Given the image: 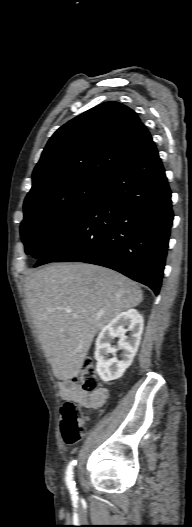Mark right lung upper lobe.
<instances>
[{
  "label": "right lung upper lobe",
  "mask_w": 192,
  "mask_h": 527,
  "mask_svg": "<svg viewBox=\"0 0 192 527\" xmlns=\"http://www.w3.org/2000/svg\"><path fill=\"white\" fill-rule=\"evenodd\" d=\"M151 142L132 109L115 101L102 103L53 134L33 171L25 201L83 180L107 182Z\"/></svg>",
  "instance_id": "obj_1"
}]
</instances>
